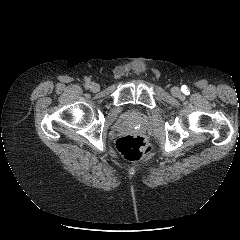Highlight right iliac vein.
<instances>
[{
	"instance_id": "obj_1",
	"label": "right iliac vein",
	"mask_w": 240,
	"mask_h": 240,
	"mask_svg": "<svg viewBox=\"0 0 240 240\" xmlns=\"http://www.w3.org/2000/svg\"><path fill=\"white\" fill-rule=\"evenodd\" d=\"M89 88L93 92H98L100 90V85L97 83H91Z\"/></svg>"
}]
</instances>
